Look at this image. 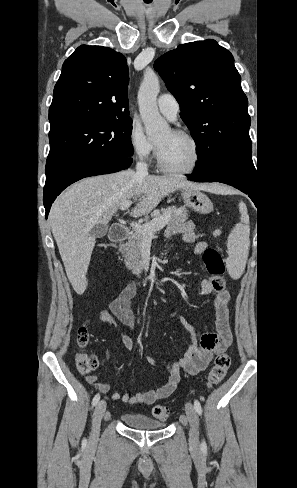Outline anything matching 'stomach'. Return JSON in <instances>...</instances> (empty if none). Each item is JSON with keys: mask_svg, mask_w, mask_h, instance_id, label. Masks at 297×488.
<instances>
[{"mask_svg": "<svg viewBox=\"0 0 297 488\" xmlns=\"http://www.w3.org/2000/svg\"><path fill=\"white\" fill-rule=\"evenodd\" d=\"M181 195L185 205L192 208L195 212L209 214L213 211L211 200L200 190L187 188L181 189Z\"/></svg>", "mask_w": 297, "mask_h": 488, "instance_id": "stomach-1", "label": "stomach"}]
</instances>
